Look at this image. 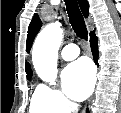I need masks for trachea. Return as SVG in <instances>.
I'll return each mask as SVG.
<instances>
[{
    "instance_id": "3493384b",
    "label": "trachea",
    "mask_w": 121,
    "mask_h": 113,
    "mask_svg": "<svg viewBox=\"0 0 121 113\" xmlns=\"http://www.w3.org/2000/svg\"><path fill=\"white\" fill-rule=\"evenodd\" d=\"M65 5L74 32L80 39L87 40L88 31L85 25L83 15L79 9L77 0H65Z\"/></svg>"
}]
</instances>
